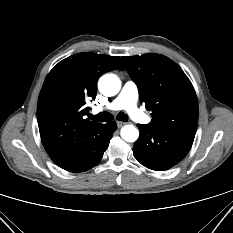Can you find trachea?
Returning a JSON list of instances; mask_svg holds the SVG:
<instances>
[{"label":"trachea","instance_id":"trachea-1","mask_svg":"<svg viewBox=\"0 0 233 233\" xmlns=\"http://www.w3.org/2000/svg\"><path fill=\"white\" fill-rule=\"evenodd\" d=\"M90 118L97 122H107V121L112 120V115L109 112H101L96 116L91 115ZM117 120L127 122L128 116L125 113L120 112L117 115Z\"/></svg>","mask_w":233,"mask_h":233}]
</instances>
